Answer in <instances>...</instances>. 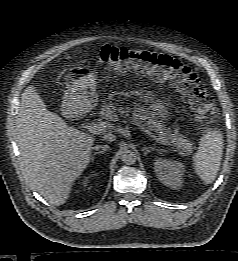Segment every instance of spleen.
Masks as SVG:
<instances>
[{
	"mask_svg": "<svg viewBox=\"0 0 238 261\" xmlns=\"http://www.w3.org/2000/svg\"><path fill=\"white\" fill-rule=\"evenodd\" d=\"M223 155V135L217 128L209 129L201 138L193 157L195 173L205 185L211 184L220 169Z\"/></svg>",
	"mask_w": 238,
	"mask_h": 261,
	"instance_id": "spleen-1",
	"label": "spleen"
}]
</instances>
